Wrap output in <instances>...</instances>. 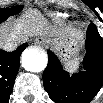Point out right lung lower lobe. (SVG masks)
Wrapping results in <instances>:
<instances>
[{
    "mask_svg": "<svg viewBox=\"0 0 103 103\" xmlns=\"http://www.w3.org/2000/svg\"><path fill=\"white\" fill-rule=\"evenodd\" d=\"M5 20H0V23ZM28 46L22 44L13 52L0 50V98L7 100L12 92L14 80L19 69V60L22 51Z\"/></svg>",
    "mask_w": 103,
    "mask_h": 103,
    "instance_id": "98d812e1",
    "label": "right lung lower lobe"
}]
</instances>
